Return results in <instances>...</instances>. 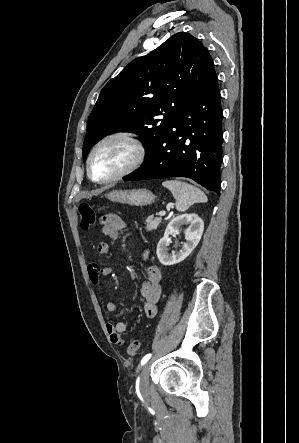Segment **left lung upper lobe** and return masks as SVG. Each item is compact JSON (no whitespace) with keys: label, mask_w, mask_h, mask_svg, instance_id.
I'll return each mask as SVG.
<instances>
[{"label":"left lung upper lobe","mask_w":299,"mask_h":443,"mask_svg":"<svg viewBox=\"0 0 299 443\" xmlns=\"http://www.w3.org/2000/svg\"><path fill=\"white\" fill-rule=\"evenodd\" d=\"M213 72L208 50L184 32L135 59L101 90L88 120L83 157L106 135L132 132L144 140L146 159Z\"/></svg>","instance_id":"obj_1"}]
</instances>
